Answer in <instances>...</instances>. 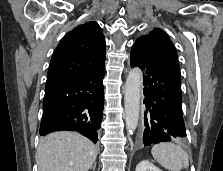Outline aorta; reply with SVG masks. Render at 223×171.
I'll return each instance as SVG.
<instances>
[{
    "label": "aorta",
    "mask_w": 223,
    "mask_h": 171,
    "mask_svg": "<svg viewBox=\"0 0 223 171\" xmlns=\"http://www.w3.org/2000/svg\"><path fill=\"white\" fill-rule=\"evenodd\" d=\"M141 85L142 71L135 67L127 76L124 95L126 129L131 134L136 130L139 121Z\"/></svg>",
    "instance_id": "1"
}]
</instances>
